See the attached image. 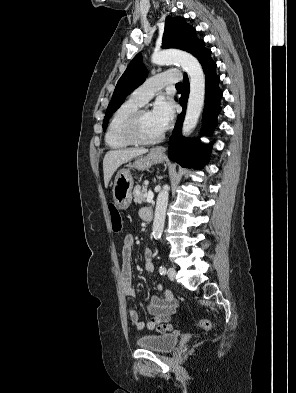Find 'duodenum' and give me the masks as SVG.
<instances>
[{
  "label": "duodenum",
  "mask_w": 296,
  "mask_h": 393,
  "mask_svg": "<svg viewBox=\"0 0 296 393\" xmlns=\"http://www.w3.org/2000/svg\"><path fill=\"white\" fill-rule=\"evenodd\" d=\"M153 218V209L149 208L146 210V214H145V220L146 221H151Z\"/></svg>",
  "instance_id": "obj_1"
}]
</instances>
